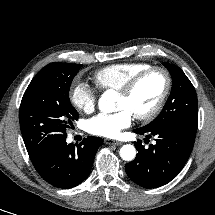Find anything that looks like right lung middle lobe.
Listing matches in <instances>:
<instances>
[{
  "instance_id": "dd1d6c3e",
  "label": "right lung middle lobe",
  "mask_w": 215,
  "mask_h": 215,
  "mask_svg": "<svg viewBox=\"0 0 215 215\" xmlns=\"http://www.w3.org/2000/svg\"><path fill=\"white\" fill-rule=\"evenodd\" d=\"M80 64L51 63L27 87L20 105L22 137L30 158L66 137V128L78 113L69 100V89Z\"/></svg>"
}]
</instances>
